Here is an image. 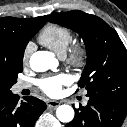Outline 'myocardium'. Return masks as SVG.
I'll return each instance as SVG.
<instances>
[{
	"label": "myocardium",
	"instance_id": "f54148a6",
	"mask_svg": "<svg viewBox=\"0 0 127 127\" xmlns=\"http://www.w3.org/2000/svg\"><path fill=\"white\" fill-rule=\"evenodd\" d=\"M88 59V49L83 43L71 44L66 52L67 62L74 68H83Z\"/></svg>",
	"mask_w": 127,
	"mask_h": 127
}]
</instances>
